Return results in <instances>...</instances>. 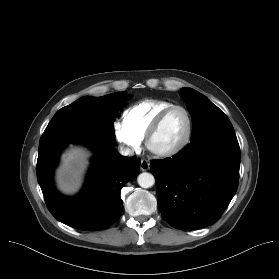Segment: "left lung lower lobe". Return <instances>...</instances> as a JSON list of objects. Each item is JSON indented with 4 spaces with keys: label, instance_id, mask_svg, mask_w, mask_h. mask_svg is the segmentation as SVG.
I'll return each mask as SVG.
<instances>
[{
    "label": "left lung lower lobe",
    "instance_id": "0a47b994",
    "mask_svg": "<svg viewBox=\"0 0 279 279\" xmlns=\"http://www.w3.org/2000/svg\"><path fill=\"white\" fill-rule=\"evenodd\" d=\"M240 159L235 132L219 131L191 140L173 160L152 161L163 218L182 230L214 224L237 190Z\"/></svg>",
    "mask_w": 279,
    "mask_h": 279
}]
</instances>
